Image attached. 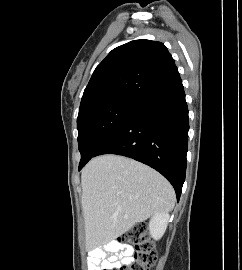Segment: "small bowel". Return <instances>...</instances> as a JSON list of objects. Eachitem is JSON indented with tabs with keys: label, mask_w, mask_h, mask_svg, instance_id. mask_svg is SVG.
Instances as JSON below:
<instances>
[{
	"label": "small bowel",
	"mask_w": 242,
	"mask_h": 270,
	"mask_svg": "<svg viewBox=\"0 0 242 270\" xmlns=\"http://www.w3.org/2000/svg\"><path fill=\"white\" fill-rule=\"evenodd\" d=\"M133 249L119 242L108 244L105 249H95L88 257L90 268L97 270H116L122 264L132 261Z\"/></svg>",
	"instance_id": "obj_1"
}]
</instances>
